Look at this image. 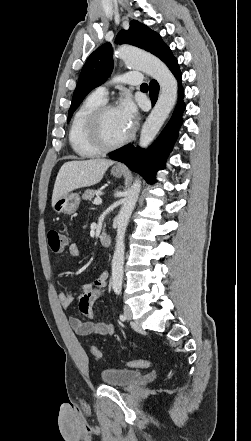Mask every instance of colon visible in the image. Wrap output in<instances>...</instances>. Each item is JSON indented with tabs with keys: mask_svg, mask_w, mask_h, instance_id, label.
Instances as JSON below:
<instances>
[{
	"mask_svg": "<svg viewBox=\"0 0 251 441\" xmlns=\"http://www.w3.org/2000/svg\"><path fill=\"white\" fill-rule=\"evenodd\" d=\"M48 244L50 249L55 253H60L64 251L67 246V237L60 231L51 230L47 235ZM90 354L95 357H100V351L96 346H90L89 348ZM126 365L131 368H147L150 366V361L148 360H132L126 362Z\"/></svg>",
	"mask_w": 251,
	"mask_h": 441,
	"instance_id": "1",
	"label": "colon"
}]
</instances>
